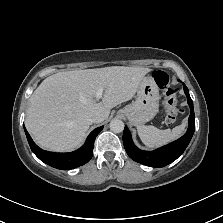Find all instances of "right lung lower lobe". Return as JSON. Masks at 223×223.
I'll return each instance as SVG.
<instances>
[{"instance_id":"98d812e1","label":"right lung lower lobe","mask_w":223,"mask_h":223,"mask_svg":"<svg viewBox=\"0 0 223 223\" xmlns=\"http://www.w3.org/2000/svg\"><path fill=\"white\" fill-rule=\"evenodd\" d=\"M103 129L96 128L88 136L85 144L78 150L70 153H54L39 148L30 137L24 127L28 143L33 153L44 163L61 170H69L87 163L93 155L94 141L98 133Z\"/></svg>"}]
</instances>
